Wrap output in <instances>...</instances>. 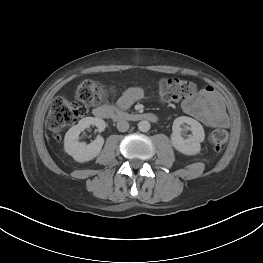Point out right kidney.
Returning <instances> with one entry per match:
<instances>
[{
    "label": "right kidney",
    "mask_w": 263,
    "mask_h": 263,
    "mask_svg": "<svg viewBox=\"0 0 263 263\" xmlns=\"http://www.w3.org/2000/svg\"><path fill=\"white\" fill-rule=\"evenodd\" d=\"M90 125H95L100 132H102L106 127V124L102 119L85 117L81 119L77 125L71 127L65 134V151L77 162H86L92 160L99 155L104 144V139L101 136H98L92 143L88 145L84 142L78 141L79 134L84 131V129L90 127Z\"/></svg>",
    "instance_id": "right-kidney-1"
}]
</instances>
